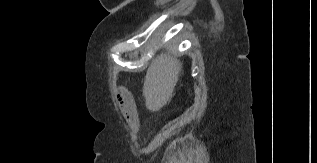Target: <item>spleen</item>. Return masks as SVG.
<instances>
[{"instance_id": "1", "label": "spleen", "mask_w": 317, "mask_h": 163, "mask_svg": "<svg viewBox=\"0 0 317 163\" xmlns=\"http://www.w3.org/2000/svg\"><path fill=\"white\" fill-rule=\"evenodd\" d=\"M181 63L167 54L155 58L147 70L143 94L150 110H159L171 96L178 81Z\"/></svg>"}]
</instances>
